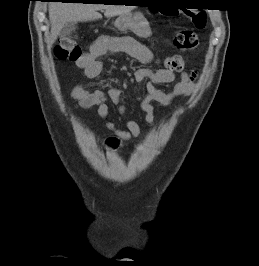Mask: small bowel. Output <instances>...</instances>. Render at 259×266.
<instances>
[{
    "instance_id": "1",
    "label": "small bowel",
    "mask_w": 259,
    "mask_h": 266,
    "mask_svg": "<svg viewBox=\"0 0 259 266\" xmlns=\"http://www.w3.org/2000/svg\"><path fill=\"white\" fill-rule=\"evenodd\" d=\"M108 53H125L136 60L148 64L153 59L152 51L131 37L101 36L95 39L77 61L78 67L87 78H96L103 68V57ZM174 73L165 69L151 70L140 68L135 72L137 82L145 81L146 93L141 100V110L145 114V121L149 125L154 123V109L167 107L176 99L188 96L194 92L196 73L182 72L180 81L174 84L169 91L158 89V85L168 84L174 81ZM73 95L82 108L97 107V112L105 120L108 129L114 132V136L104 141V147L108 150L117 149L123 141L136 138L140 134L139 124L129 119L126 115L125 96L117 88H111L107 93L102 91L89 92L81 86L75 87ZM110 101L118 106L120 115L125 119L127 130H120L107 120Z\"/></svg>"
}]
</instances>
